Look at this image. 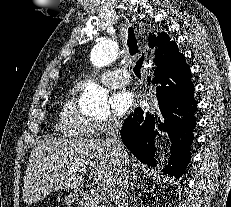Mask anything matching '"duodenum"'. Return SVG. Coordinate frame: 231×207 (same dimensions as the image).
Instances as JSON below:
<instances>
[{"label":"duodenum","instance_id":"duodenum-1","mask_svg":"<svg viewBox=\"0 0 231 207\" xmlns=\"http://www.w3.org/2000/svg\"><path fill=\"white\" fill-rule=\"evenodd\" d=\"M77 198L82 207H94L95 205L94 200L88 193L80 192L77 194Z\"/></svg>","mask_w":231,"mask_h":207}]
</instances>
